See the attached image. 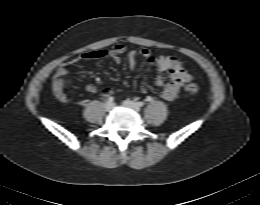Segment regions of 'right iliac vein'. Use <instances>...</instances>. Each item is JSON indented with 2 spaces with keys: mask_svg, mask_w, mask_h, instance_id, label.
<instances>
[{
  "mask_svg": "<svg viewBox=\"0 0 260 205\" xmlns=\"http://www.w3.org/2000/svg\"><path fill=\"white\" fill-rule=\"evenodd\" d=\"M113 107H114V104H113L112 102H107V103H105V105H104V109H105V111H107V112L111 111V110L113 109Z\"/></svg>",
  "mask_w": 260,
  "mask_h": 205,
  "instance_id": "right-iliac-vein-1",
  "label": "right iliac vein"
}]
</instances>
